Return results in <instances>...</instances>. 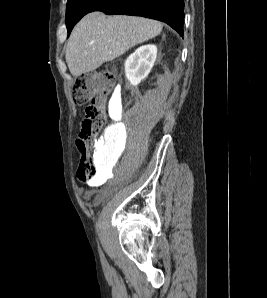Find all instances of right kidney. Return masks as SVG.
Here are the masks:
<instances>
[{"instance_id":"1","label":"right kidney","mask_w":267,"mask_h":298,"mask_svg":"<svg viewBox=\"0 0 267 298\" xmlns=\"http://www.w3.org/2000/svg\"><path fill=\"white\" fill-rule=\"evenodd\" d=\"M157 57L155 45H144L136 49L125 61V75L131 85L137 86L154 66Z\"/></svg>"}]
</instances>
